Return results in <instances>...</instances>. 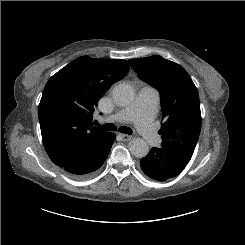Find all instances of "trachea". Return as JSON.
<instances>
[{"instance_id": "trachea-1", "label": "trachea", "mask_w": 245, "mask_h": 245, "mask_svg": "<svg viewBox=\"0 0 245 245\" xmlns=\"http://www.w3.org/2000/svg\"><path fill=\"white\" fill-rule=\"evenodd\" d=\"M95 125H98L101 129L107 130V131H116L117 128L113 124H104L100 125L97 121H95ZM119 132L125 133V134H132L133 131L130 128L127 127H120L118 129Z\"/></svg>"}]
</instances>
